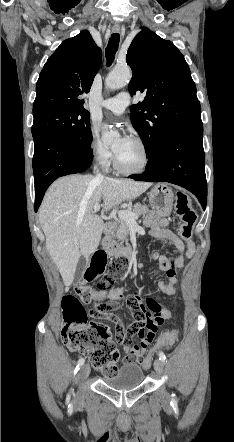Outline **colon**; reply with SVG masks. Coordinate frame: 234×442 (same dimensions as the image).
<instances>
[{
    "mask_svg": "<svg viewBox=\"0 0 234 442\" xmlns=\"http://www.w3.org/2000/svg\"><path fill=\"white\" fill-rule=\"evenodd\" d=\"M175 207L176 214L181 221L180 236L183 239H189L196 222V214L191 207L189 196L178 191ZM128 265V260L122 258L114 259L108 265L105 253L97 252L85 271L83 281L76 286L75 295L65 298L62 302L63 341L72 350L83 353L91 365L100 369L106 376H114L117 373L118 352L112 340V332L94 331L93 328L87 327L86 322L89 316L102 314V308L107 304V300L111 301L109 304L112 309L117 308L121 301H124L133 316L134 314H162L163 310L157 297H146L142 293L124 296L123 292L118 289H112L113 283L124 274ZM91 282H96L95 286L88 285ZM90 303H93L95 308L87 313L84 305ZM113 322L120 323L116 317ZM177 336V330H171L157 340L151 347L150 354L144 359L142 369L150 370L153 360L151 354L162 352L165 346L176 341Z\"/></svg>",
    "mask_w": 234,
    "mask_h": 442,
    "instance_id": "colon-1",
    "label": "colon"
}]
</instances>
